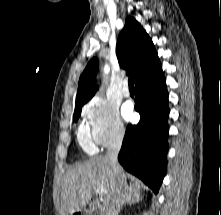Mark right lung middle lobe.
<instances>
[{"mask_svg":"<svg viewBox=\"0 0 221 215\" xmlns=\"http://www.w3.org/2000/svg\"><path fill=\"white\" fill-rule=\"evenodd\" d=\"M84 104H80V105H76L75 106V112H74V115H73V120L75 122H77V120L79 119L80 117V114H81V108Z\"/></svg>","mask_w":221,"mask_h":215,"instance_id":"dd1d6c3e","label":"right lung middle lobe"}]
</instances>
